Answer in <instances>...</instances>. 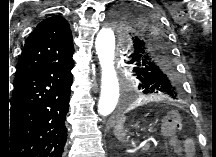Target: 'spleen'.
<instances>
[{"label":"spleen","mask_w":216,"mask_h":157,"mask_svg":"<svg viewBox=\"0 0 216 157\" xmlns=\"http://www.w3.org/2000/svg\"><path fill=\"white\" fill-rule=\"evenodd\" d=\"M125 120L126 118L120 119L114 127V135L119 141H122L126 135L125 130H124Z\"/></svg>","instance_id":"3e777b00"}]
</instances>
